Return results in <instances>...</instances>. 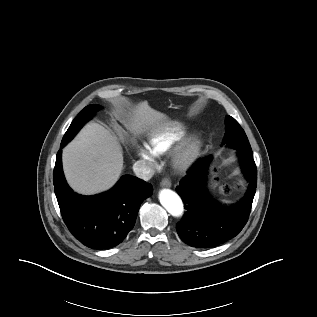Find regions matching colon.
Returning a JSON list of instances; mask_svg holds the SVG:
<instances>
[{"mask_svg": "<svg viewBox=\"0 0 317 317\" xmlns=\"http://www.w3.org/2000/svg\"><path fill=\"white\" fill-rule=\"evenodd\" d=\"M241 187V185L240 184H236L235 185V188H237V189H239ZM220 189L224 192V193H230V191H231V187L230 186H228V185H222L221 187H220Z\"/></svg>", "mask_w": 317, "mask_h": 317, "instance_id": "1", "label": "colon"}]
</instances>
